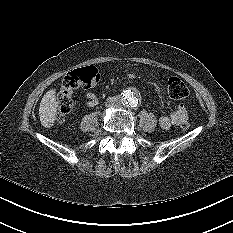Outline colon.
I'll return each instance as SVG.
<instances>
[{
  "mask_svg": "<svg viewBox=\"0 0 233 233\" xmlns=\"http://www.w3.org/2000/svg\"><path fill=\"white\" fill-rule=\"evenodd\" d=\"M101 74L95 66H87L73 70L63 78L60 91L57 95V114L56 119L59 123L65 121L66 116L71 112L73 107V93L79 88L94 87L100 80ZM167 90L171 98L182 100L188 97L189 89L186 84L178 77L168 78ZM190 124L184 120L180 124L182 130L189 129Z\"/></svg>",
  "mask_w": 233,
  "mask_h": 233,
  "instance_id": "colon-1",
  "label": "colon"
}]
</instances>
